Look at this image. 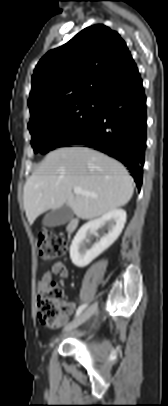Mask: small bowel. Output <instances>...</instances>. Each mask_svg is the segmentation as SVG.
<instances>
[{
	"label": "small bowel",
	"instance_id": "small-bowel-1",
	"mask_svg": "<svg viewBox=\"0 0 168 406\" xmlns=\"http://www.w3.org/2000/svg\"><path fill=\"white\" fill-rule=\"evenodd\" d=\"M52 275H57L61 278H66L68 276V271L65 268V266L61 262H57L53 265L52 269L50 272H47L43 275L41 280L38 283V292H41L42 290L46 289L49 286L51 276ZM60 305L62 306L64 314L61 316L60 321L58 324L54 326H48L49 329H56L60 327L62 324H64L68 316L73 312L75 309V303L69 301V300H63L60 302Z\"/></svg>",
	"mask_w": 168,
	"mask_h": 406
}]
</instances>
